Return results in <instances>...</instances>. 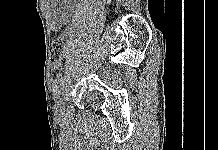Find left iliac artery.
Masks as SVG:
<instances>
[{"instance_id": "obj_1", "label": "left iliac artery", "mask_w": 218, "mask_h": 150, "mask_svg": "<svg viewBox=\"0 0 218 150\" xmlns=\"http://www.w3.org/2000/svg\"><path fill=\"white\" fill-rule=\"evenodd\" d=\"M64 83H65V77H61L60 79H58V81L56 82L53 88L54 98H57L59 94H61V90L64 88Z\"/></svg>"}]
</instances>
